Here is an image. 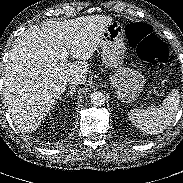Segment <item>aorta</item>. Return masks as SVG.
Instances as JSON below:
<instances>
[{
	"label": "aorta",
	"mask_w": 183,
	"mask_h": 183,
	"mask_svg": "<svg viewBox=\"0 0 183 183\" xmlns=\"http://www.w3.org/2000/svg\"><path fill=\"white\" fill-rule=\"evenodd\" d=\"M90 101L94 106H101L105 103V96L100 91H94L90 95Z\"/></svg>",
	"instance_id": "aorta-1"
}]
</instances>
